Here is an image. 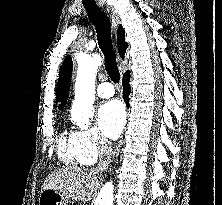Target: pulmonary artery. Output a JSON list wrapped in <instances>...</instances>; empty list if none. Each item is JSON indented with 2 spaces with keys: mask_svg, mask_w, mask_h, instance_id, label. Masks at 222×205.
Listing matches in <instances>:
<instances>
[{
  "mask_svg": "<svg viewBox=\"0 0 222 205\" xmlns=\"http://www.w3.org/2000/svg\"><path fill=\"white\" fill-rule=\"evenodd\" d=\"M115 90L112 84L110 83H101L98 87H97V94L99 97L101 98H110L114 95Z\"/></svg>",
  "mask_w": 222,
  "mask_h": 205,
  "instance_id": "e3ab8cb5",
  "label": "pulmonary artery"
}]
</instances>
